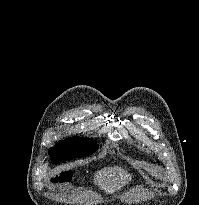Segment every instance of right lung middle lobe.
I'll list each match as a JSON object with an SVG mask.
<instances>
[{"mask_svg": "<svg viewBox=\"0 0 199 205\" xmlns=\"http://www.w3.org/2000/svg\"><path fill=\"white\" fill-rule=\"evenodd\" d=\"M98 144L93 139L82 137H69L58 141L48 150L51 162L59 164L62 161L79 157H86L98 150Z\"/></svg>", "mask_w": 199, "mask_h": 205, "instance_id": "dd1d6c3e", "label": "right lung middle lobe"}]
</instances>
